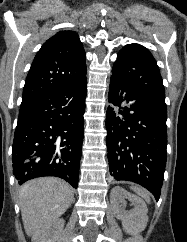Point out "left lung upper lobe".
<instances>
[{"label": "left lung upper lobe", "mask_w": 187, "mask_h": 242, "mask_svg": "<svg viewBox=\"0 0 187 242\" xmlns=\"http://www.w3.org/2000/svg\"><path fill=\"white\" fill-rule=\"evenodd\" d=\"M112 76L129 86L165 101L159 67L150 51L142 45H126L117 54Z\"/></svg>", "instance_id": "1"}]
</instances>
